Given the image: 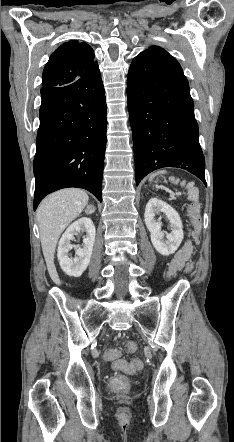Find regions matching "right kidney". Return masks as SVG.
<instances>
[{
    "instance_id": "right-kidney-1",
    "label": "right kidney",
    "mask_w": 234,
    "mask_h": 442,
    "mask_svg": "<svg viewBox=\"0 0 234 442\" xmlns=\"http://www.w3.org/2000/svg\"><path fill=\"white\" fill-rule=\"evenodd\" d=\"M80 231L86 233V237L83 239V247L76 248L71 244L74 240V236ZM96 230L92 220L88 217H82L73 222L62 235L57 257L62 270L69 276L80 277L86 270L90 263L92 250L95 242ZM76 249V255L74 258L69 256L71 249Z\"/></svg>"
}]
</instances>
